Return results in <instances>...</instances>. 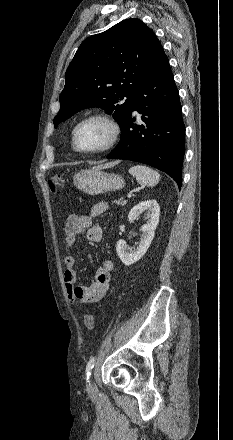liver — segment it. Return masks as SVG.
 Listing matches in <instances>:
<instances>
[{
	"label": "liver",
	"instance_id": "obj_1",
	"mask_svg": "<svg viewBox=\"0 0 233 440\" xmlns=\"http://www.w3.org/2000/svg\"><path fill=\"white\" fill-rule=\"evenodd\" d=\"M112 165H113V163H108V164H105L103 167H111ZM96 168L101 169L102 166H98Z\"/></svg>",
	"mask_w": 233,
	"mask_h": 440
}]
</instances>
